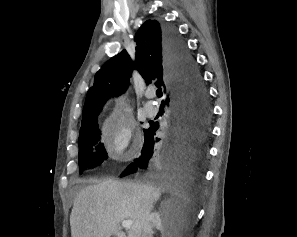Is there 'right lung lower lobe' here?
Listing matches in <instances>:
<instances>
[{
	"instance_id": "1",
	"label": "right lung lower lobe",
	"mask_w": 297,
	"mask_h": 237,
	"mask_svg": "<svg viewBox=\"0 0 297 237\" xmlns=\"http://www.w3.org/2000/svg\"><path fill=\"white\" fill-rule=\"evenodd\" d=\"M163 43L172 79L166 97L169 118L165 135L158 138L159 124L151 123L145 131L141 156L120 177L138 170H144L151 178L204 172L210 114L207 93L184 40L173 26L163 25Z\"/></svg>"
}]
</instances>
